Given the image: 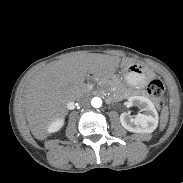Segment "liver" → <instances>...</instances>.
<instances>
[{
    "label": "liver",
    "instance_id": "obj_1",
    "mask_svg": "<svg viewBox=\"0 0 183 183\" xmlns=\"http://www.w3.org/2000/svg\"><path fill=\"white\" fill-rule=\"evenodd\" d=\"M121 59L116 56L95 53H78L51 62L36 72L24 89V110L29 128L38 140L48 137L47 127L55 119L67 114V103L77 99L85 88L87 75L112 74ZM134 64L122 60L121 66Z\"/></svg>",
    "mask_w": 183,
    "mask_h": 183
}]
</instances>
